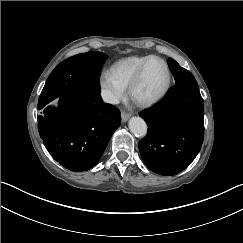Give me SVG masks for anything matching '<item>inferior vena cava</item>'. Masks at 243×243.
<instances>
[{
  "label": "inferior vena cava",
  "mask_w": 243,
  "mask_h": 243,
  "mask_svg": "<svg viewBox=\"0 0 243 243\" xmlns=\"http://www.w3.org/2000/svg\"><path fill=\"white\" fill-rule=\"evenodd\" d=\"M101 96L103 100L107 103L111 104H119L120 100L119 98L110 90L103 89L101 91Z\"/></svg>",
  "instance_id": "602c4592"
}]
</instances>
